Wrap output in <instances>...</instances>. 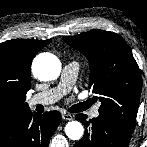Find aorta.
<instances>
[{"label":"aorta","instance_id":"aorta-1","mask_svg":"<svg viewBox=\"0 0 147 147\" xmlns=\"http://www.w3.org/2000/svg\"><path fill=\"white\" fill-rule=\"evenodd\" d=\"M61 71L60 60L53 54L42 53L35 57L32 63L33 75L41 81L55 80ZM84 128L78 121L68 122L65 126V134L71 140L82 138Z\"/></svg>","mask_w":147,"mask_h":147}]
</instances>
